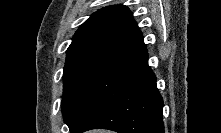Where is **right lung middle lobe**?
Returning a JSON list of instances; mask_svg holds the SVG:
<instances>
[{
  "instance_id": "1",
  "label": "right lung middle lobe",
  "mask_w": 221,
  "mask_h": 133,
  "mask_svg": "<svg viewBox=\"0 0 221 133\" xmlns=\"http://www.w3.org/2000/svg\"><path fill=\"white\" fill-rule=\"evenodd\" d=\"M104 71H64L62 113L65 123L71 127L86 95L96 79Z\"/></svg>"
}]
</instances>
